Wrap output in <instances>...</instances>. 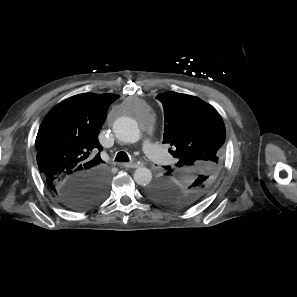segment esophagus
<instances>
[{"mask_svg": "<svg viewBox=\"0 0 297 297\" xmlns=\"http://www.w3.org/2000/svg\"><path fill=\"white\" fill-rule=\"evenodd\" d=\"M122 166L126 168H138L140 164L136 162H127V163H122Z\"/></svg>", "mask_w": 297, "mask_h": 297, "instance_id": "esophagus-1", "label": "esophagus"}]
</instances>
